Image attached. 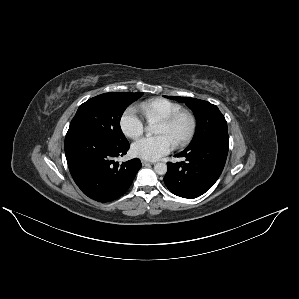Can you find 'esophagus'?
Wrapping results in <instances>:
<instances>
[{
	"mask_svg": "<svg viewBox=\"0 0 299 299\" xmlns=\"http://www.w3.org/2000/svg\"><path fill=\"white\" fill-rule=\"evenodd\" d=\"M141 163H142V165L154 164V162H150V161H146V160H142Z\"/></svg>",
	"mask_w": 299,
	"mask_h": 299,
	"instance_id": "34e87169",
	"label": "esophagus"
}]
</instances>
